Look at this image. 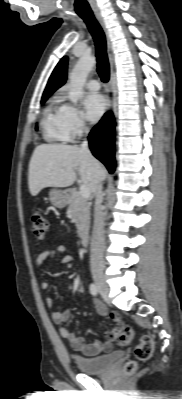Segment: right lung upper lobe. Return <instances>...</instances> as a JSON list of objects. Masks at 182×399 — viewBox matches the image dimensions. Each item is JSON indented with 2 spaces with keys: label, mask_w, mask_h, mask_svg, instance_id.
Masks as SVG:
<instances>
[{
  "label": "right lung upper lobe",
  "mask_w": 182,
  "mask_h": 399,
  "mask_svg": "<svg viewBox=\"0 0 182 399\" xmlns=\"http://www.w3.org/2000/svg\"><path fill=\"white\" fill-rule=\"evenodd\" d=\"M67 78V57H64L52 72L42 98H48L54 91L60 88Z\"/></svg>",
  "instance_id": "obj_1"
}]
</instances>
